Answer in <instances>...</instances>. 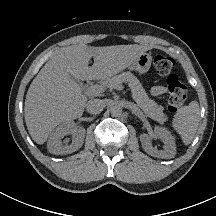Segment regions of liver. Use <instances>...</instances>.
Segmentation results:
<instances>
[{
    "label": "liver",
    "mask_w": 216,
    "mask_h": 216,
    "mask_svg": "<svg viewBox=\"0 0 216 216\" xmlns=\"http://www.w3.org/2000/svg\"><path fill=\"white\" fill-rule=\"evenodd\" d=\"M143 45L92 47L85 44L58 50L32 81L25 99V122L37 144H44L60 123L82 116L87 103L77 80H104L128 68ZM93 57L94 64L89 67Z\"/></svg>",
    "instance_id": "1"
}]
</instances>
